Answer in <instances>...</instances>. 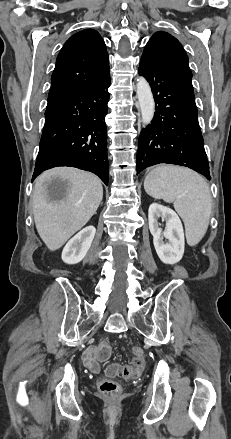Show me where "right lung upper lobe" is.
<instances>
[{
	"label": "right lung upper lobe",
	"mask_w": 231,
	"mask_h": 439,
	"mask_svg": "<svg viewBox=\"0 0 231 439\" xmlns=\"http://www.w3.org/2000/svg\"><path fill=\"white\" fill-rule=\"evenodd\" d=\"M109 75V57L103 39L93 29L80 31L66 41L57 57L47 106L97 84Z\"/></svg>",
	"instance_id": "right-lung-upper-lobe-1"
}]
</instances>
